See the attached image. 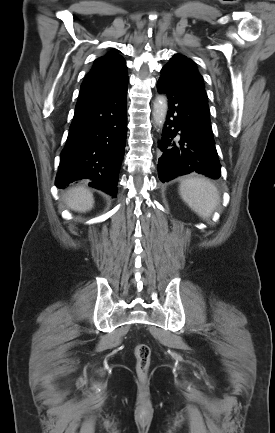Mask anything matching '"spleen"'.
<instances>
[{
    "instance_id": "1",
    "label": "spleen",
    "mask_w": 275,
    "mask_h": 433,
    "mask_svg": "<svg viewBox=\"0 0 275 433\" xmlns=\"http://www.w3.org/2000/svg\"><path fill=\"white\" fill-rule=\"evenodd\" d=\"M182 199L202 218H208L219 201L216 187L205 178H189L179 187Z\"/></svg>"
}]
</instances>
